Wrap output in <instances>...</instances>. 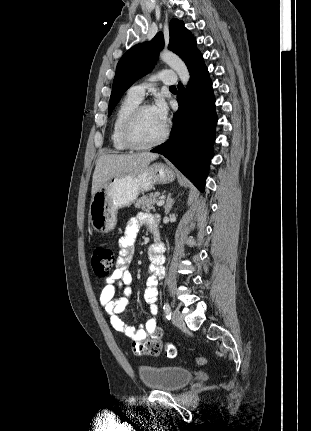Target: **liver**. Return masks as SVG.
I'll return each mask as SVG.
<instances>
[{
	"mask_svg": "<svg viewBox=\"0 0 311 431\" xmlns=\"http://www.w3.org/2000/svg\"><path fill=\"white\" fill-rule=\"evenodd\" d=\"M159 154L142 152V154H112V156H100L92 176L91 196L102 188L105 182L116 176H136L138 172L147 168L151 162L157 160Z\"/></svg>",
	"mask_w": 311,
	"mask_h": 431,
	"instance_id": "liver-1",
	"label": "liver"
}]
</instances>
